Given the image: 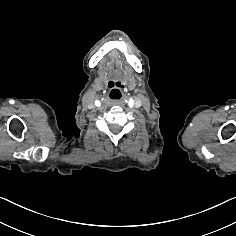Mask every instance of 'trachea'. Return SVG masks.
Listing matches in <instances>:
<instances>
[{"label": "trachea", "instance_id": "3493384b", "mask_svg": "<svg viewBox=\"0 0 236 236\" xmlns=\"http://www.w3.org/2000/svg\"><path fill=\"white\" fill-rule=\"evenodd\" d=\"M125 96V93L123 90L115 88L111 91L108 92L107 98L109 101L114 102V101H119L123 99Z\"/></svg>", "mask_w": 236, "mask_h": 236}]
</instances>
